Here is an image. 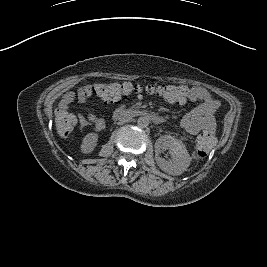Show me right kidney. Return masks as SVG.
<instances>
[{
  "mask_svg": "<svg viewBox=\"0 0 267 267\" xmlns=\"http://www.w3.org/2000/svg\"><path fill=\"white\" fill-rule=\"evenodd\" d=\"M98 137V134L93 132L85 135L80 146L81 152L83 154L91 153L97 146Z\"/></svg>",
  "mask_w": 267,
  "mask_h": 267,
  "instance_id": "ca27d5eb",
  "label": "right kidney"
}]
</instances>
